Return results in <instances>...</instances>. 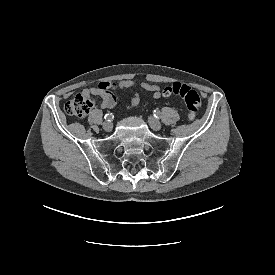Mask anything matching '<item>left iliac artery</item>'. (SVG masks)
I'll use <instances>...</instances> for the list:
<instances>
[{
	"label": "left iliac artery",
	"mask_w": 275,
	"mask_h": 275,
	"mask_svg": "<svg viewBox=\"0 0 275 275\" xmlns=\"http://www.w3.org/2000/svg\"><path fill=\"white\" fill-rule=\"evenodd\" d=\"M154 117H156V118H160L161 117V113H160V111H158V110H154Z\"/></svg>",
	"instance_id": "44dca946"
}]
</instances>
